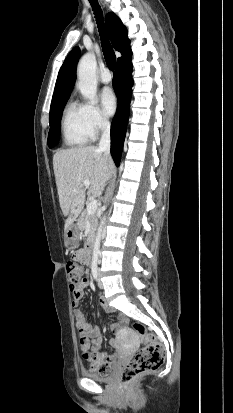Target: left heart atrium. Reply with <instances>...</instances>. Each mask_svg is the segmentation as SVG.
Segmentation results:
<instances>
[{"mask_svg":"<svg viewBox=\"0 0 233 413\" xmlns=\"http://www.w3.org/2000/svg\"><path fill=\"white\" fill-rule=\"evenodd\" d=\"M101 103L104 112L107 115H112L116 111L117 108V99L110 88H104L101 92Z\"/></svg>","mask_w":233,"mask_h":413,"instance_id":"39dd6f15","label":"left heart atrium"}]
</instances>
